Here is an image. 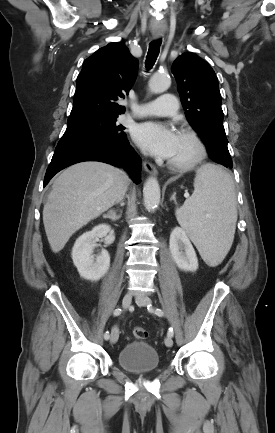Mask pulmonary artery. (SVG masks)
Wrapping results in <instances>:
<instances>
[{
  "mask_svg": "<svg viewBox=\"0 0 275 433\" xmlns=\"http://www.w3.org/2000/svg\"><path fill=\"white\" fill-rule=\"evenodd\" d=\"M178 111V101L172 94H163L159 98L141 104L134 110L136 116H172Z\"/></svg>",
  "mask_w": 275,
  "mask_h": 433,
  "instance_id": "e3ab8cb5",
  "label": "pulmonary artery"
}]
</instances>
